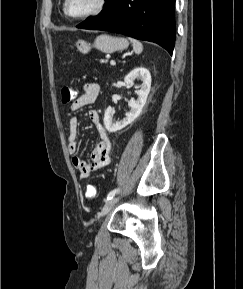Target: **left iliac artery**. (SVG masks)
Listing matches in <instances>:
<instances>
[{"mask_svg": "<svg viewBox=\"0 0 243 289\" xmlns=\"http://www.w3.org/2000/svg\"><path fill=\"white\" fill-rule=\"evenodd\" d=\"M119 191H120V189H114V190L110 191L107 195L106 200L108 201V200L112 199Z\"/></svg>", "mask_w": 243, "mask_h": 289, "instance_id": "obj_1", "label": "left iliac artery"}]
</instances>
